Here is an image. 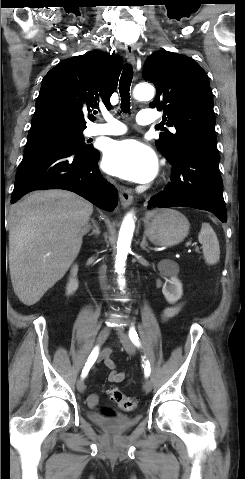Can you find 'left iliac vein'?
<instances>
[{
    "label": "left iliac vein",
    "mask_w": 245,
    "mask_h": 479,
    "mask_svg": "<svg viewBox=\"0 0 245 479\" xmlns=\"http://www.w3.org/2000/svg\"><path fill=\"white\" fill-rule=\"evenodd\" d=\"M117 333H118L119 339H120L125 351L128 354L133 355L136 351L135 347H134L132 341L130 340V338L128 337V335L124 332L123 328H118ZM143 388H144L145 392H150L151 389H152L151 380L147 379L144 382Z\"/></svg>",
    "instance_id": "1"
}]
</instances>
